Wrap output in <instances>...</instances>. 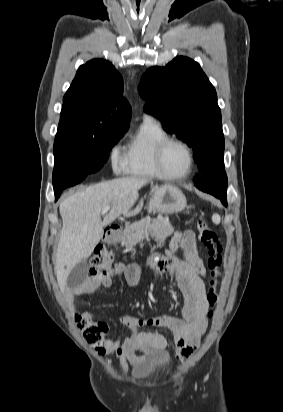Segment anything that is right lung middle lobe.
<instances>
[{
	"instance_id": "right-lung-middle-lobe-1",
	"label": "right lung middle lobe",
	"mask_w": 283,
	"mask_h": 412,
	"mask_svg": "<svg viewBox=\"0 0 283 412\" xmlns=\"http://www.w3.org/2000/svg\"><path fill=\"white\" fill-rule=\"evenodd\" d=\"M124 132L95 133L75 120H60L54 142L53 180L78 178L99 170Z\"/></svg>"
}]
</instances>
